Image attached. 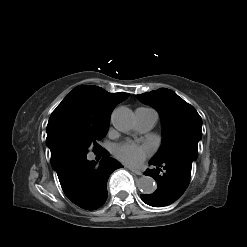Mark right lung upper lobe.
Segmentation results:
<instances>
[{
    "instance_id": "cb5924a9",
    "label": "right lung upper lobe",
    "mask_w": 247,
    "mask_h": 247,
    "mask_svg": "<svg viewBox=\"0 0 247 247\" xmlns=\"http://www.w3.org/2000/svg\"><path fill=\"white\" fill-rule=\"evenodd\" d=\"M130 96L128 93H108L104 89L90 85L78 86L74 88L58 105L50 116L47 125V139L46 143L51 152L55 149L48 144V127L50 121L57 110L64 106H72L80 113L93 117L94 119L109 120L114 107L127 99Z\"/></svg>"
}]
</instances>
